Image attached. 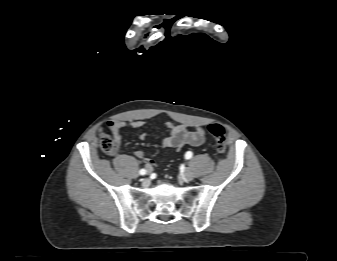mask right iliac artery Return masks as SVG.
<instances>
[{
    "label": "right iliac artery",
    "instance_id": "82829eb1",
    "mask_svg": "<svg viewBox=\"0 0 337 261\" xmlns=\"http://www.w3.org/2000/svg\"><path fill=\"white\" fill-rule=\"evenodd\" d=\"M139 173H140L141 175H145V174H146V170H145V169H141V170L139 171Z\"/></svg>",
    "mask_w": 337,
    "mask_h": 261
}]
</instances>
